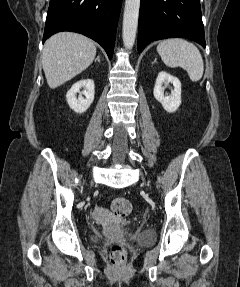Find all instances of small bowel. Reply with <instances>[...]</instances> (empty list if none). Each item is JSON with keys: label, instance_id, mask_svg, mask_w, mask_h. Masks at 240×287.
I'll return each mask as SVG.
<instances>
[{"label": "small bowel", "instance_id": "obj_1", "mask_svg": "<svg viewBox=\"0 0 240 287\" xmlns=\"http://www.w3.org/2000/svg\"><path fill=\"white\" fill-rule=\"evenodd\" d=\"M94 217L99 220L109 219L111 218V213L105 208L96 207L94 210Z\"/></svg>", "mask_w": 240, "mask_h": 287}]
</instances>
